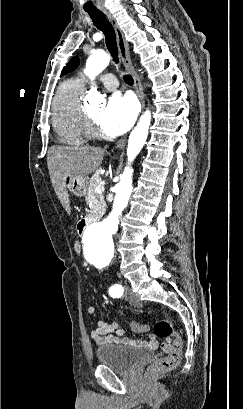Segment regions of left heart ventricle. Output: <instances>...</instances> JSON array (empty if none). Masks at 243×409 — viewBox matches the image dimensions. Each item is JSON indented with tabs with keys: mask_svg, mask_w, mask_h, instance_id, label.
Wrapping results in <instances>:
<instances>
[{
	"mask_svg": "<svg viewBox=\"0 0 243 409\" xmlns=\"http://www.w3.org/2000/svg\"><path fill=\"white\" fill-rule=\"evenodd\" d=\"M101 112V108H94L88 111V113L97 121L99 114Z\"/></svg>",
	"mask_w": 243,
	"mask_h": 409,
	"instance_id": "1",
	"label": "left heart ventricle"
}]
</instances>
